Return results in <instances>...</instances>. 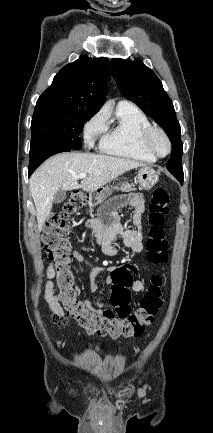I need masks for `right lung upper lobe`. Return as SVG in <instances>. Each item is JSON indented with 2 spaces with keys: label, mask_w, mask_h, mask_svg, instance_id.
Listing matches in <instances>:
<instances>
[{
  "label": "right lung upper lobe",
  "mask_w": 213,
  "mask_h": 433,
  "mask_svg": "<svg viewBox=\"0 0 213 433\" xmlns=\"http://www.w3.org/2000/svg\"><path fill=\"white\" fill-rule=\"evenodd\" d=\"M109 77L107 58L81 56L56 74L37 102L76 105L97 113L105 101V84Z\"/></svg>",
  "instance_id": "right-lung-upper-lobe-1"
}]
</instances>
